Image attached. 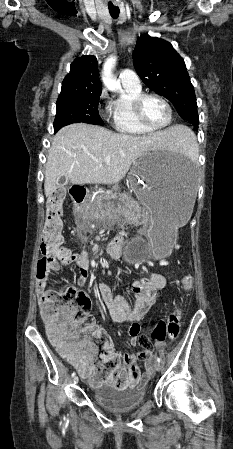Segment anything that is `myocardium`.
Returning a JSON list of instances; mask_svg holds the SVG:
<instances>
[{
	"instance_id": "obj_1",
	"label": "myocardium",
	"mask_w": 233,
	"mask_h": 449,
	"mask_svg": "<svg viewBox=\"0 0 233 449\" xmlns=\"http://www.w3.org/2000/svg\"><path fill=\"white\" fill-rule=\"evenodd\" d=\"M148 98H156L166 106L168 110V120L165 124L161 126H153L150 123H148V121L145 119L143 115V104L145 100H147ZM133 112L138 123L150 131H159L168 127L171 124L173 118V111L170 103L167 101L166 98L156 93H142L141 95L136 97L133 101Z\"/></svg>"
}]
</instances>
